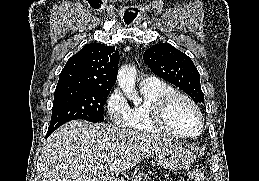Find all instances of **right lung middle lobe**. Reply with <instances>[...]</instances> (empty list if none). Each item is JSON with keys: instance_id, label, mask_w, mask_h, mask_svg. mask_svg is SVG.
Here are the masks:
<instances>
[{"instance_id": "1", "label": "right lung middle lobe", "mask_w": 259, "mask_h": 181, "mask_svg": "<svg viewBox=\"0 0 259 181\" xmlns=\"http://www.w3.org/2000/svg\"><path fill=\"white\" fill-rule=\"evenodd\" d=\"M109 92L96 89L56 88L51 123L47 133H52L71 120L103 121L104 104Z\"/></svg>"}]
</instances>
